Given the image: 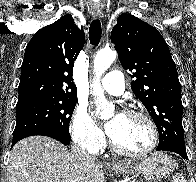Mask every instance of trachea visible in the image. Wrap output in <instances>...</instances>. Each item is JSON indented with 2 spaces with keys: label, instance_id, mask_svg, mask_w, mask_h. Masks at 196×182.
<instances>
[{
  "label": "trachea",
  "instance_id": "trachea-1",
  "mask_svg": "<svg viewBox=\"0 0 196 182\" xmlns=\"http://www.w3.org/2000/svg\"><path fill=\"white\" fill-rule=\"evenodd\" d=\"M102 35L101 23L99 19L92 21L89 28V40L92 45L97 46Z\"/></svg>",
  "mask_w": 196,
  "mask_h": 182
}]
</instances>
